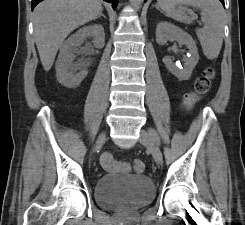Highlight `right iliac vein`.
Listing matches in <instances>:
<instances>
[{"label": "right iliac vein", "mask_w": 245, "mask_h": 225, "mask_svg": "<svg viewBox=\"0 0 245 225\" xmlns=\"http://www.w3.org/2000/svg\"><path fill=\"white\" fill-rule=\"evenodd\" d=\"M105 140H106V133H102L97 139L96 148L100 146L102 143H104Z\"/></svg>", "instance_id": "obj_1"}]
</instances>
